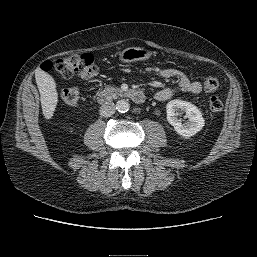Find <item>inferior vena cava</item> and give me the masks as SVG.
Returning <instances> with one entry per match:
<instances>
[{
  "label": "inferior vena cava",
  "mask_w": 257,
  "mask_h": 257,
  "mask_svg": "<svg viewBox=\"0 0 257 257\" xmlns=\"http://www.w3.org/2000/svg\"><path fill=\"white\" fill-rule=\"evenodd\" d=\"M115 105L113 102H106L100 107V114L103 117H110L115 113Z\"/></svg>",
  "instance_id": "1"
}]
</instances>
